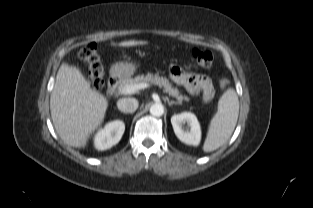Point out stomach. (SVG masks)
Segmentation results:
<instances>
[{"label": "stomach", "mask_w": 313, "mask_h": 208, "mask_svg": "<svg viewBox=\"0 0 313 208\" xmlns=\"http://www.w3.org/2000/svg\"><path fill=\"white\" fill-rule=\"evenodd\" d=\"M136 71V66L132 63H117L112 68V74L116 76H130Z\"/></svg>", "instance_id": "stomach-1"}]
</instances>
